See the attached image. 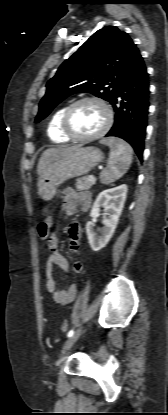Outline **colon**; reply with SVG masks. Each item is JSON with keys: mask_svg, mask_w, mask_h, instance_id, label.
Instances as JSON below:
<instances>
[{"mask_svg": "<svg viewBox=\"0 0 168 415\" xmlns=\"http://www.w3.org/2000/svg\"><path fill=\"white\" fill-rule=\"evenodd\" d=\"M50 226H51V220L50 218H46L44 221H42L38 226V232L42 239H46L50 233ZM69 328V324L66 320H64L61 323V330L63 332H67Z\"/></svg>", "mask_w": 168, "mask_h": 415, "instance_id": "colon-1", "label": "colon"}]
</instances>
